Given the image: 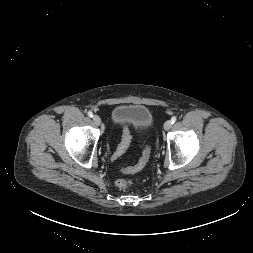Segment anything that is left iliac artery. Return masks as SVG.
<instances>
[{
	"label": "left iliac artery",
	"mask_w": 253,
	"mask_h": 253,
	"mask_svg": "<svg viewBox=\"0 0 253 253\" xmlns=\"http://www.w3.org/2000/svg\"><path fill=\"white\" fill-rule=\"evenodd\" d=\"M177 118L174 116L171 118V123L174 124L176 122Z\"/></svg>",
	"instance_id": "left-iliac-artery-1"
}]
</instances>
